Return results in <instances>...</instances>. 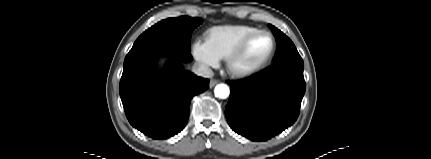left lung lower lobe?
<instances>
[{
  "instance_id": "obj_1",
  "label": "left lung lower lobe",
  "mask_w": 431,
  "mask_h": 159,
  "mask_svg": "<svg viewBox=\"0 0 431 159\" xmlns=\"http://www.w3.org/2000/svg\"><path fill=\"white\" fill-rule=\"evenodd\" d=\"M304 64L283 62L231 86L225 115L233 131L267 141L293 125L305 93Z\"/></svg>"
}]
</instances>
